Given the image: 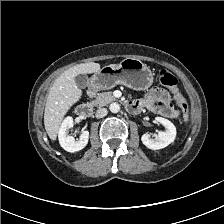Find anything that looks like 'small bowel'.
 <instances>
[{
  "label": "small bowel",
  "instance_id": "1",
  "mask_svg": "<svg viewBox=\"0 0 224 224\" xmlns=\"http://www.w3.org/2000/svg\"><path fill=\"white\" fill-rule=\"evenodd\" d=\"M134 101L141 108L151 109L164 117L175 118L178 115L170 103L169 94L161 88H152L144 98Z\"/></svg>",
  "mask_w": 224,
  "mask_h": 224
}]
</instances>
